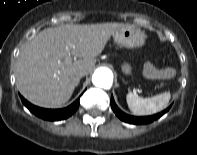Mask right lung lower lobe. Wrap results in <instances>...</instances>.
Here are the masks:
<instances>
[{
    "label": "right lung lower lobe",
    "mask_w": 197,
    "mask_h": 155,
    "mask_svg": "<svg viewBox=\"0 0 197 155\" xmlns=\"http://www.w3.org/2000/svg\"><path fill=\"white\" fill-rule=\"evenodd\" d=\"M21 100L23 104L30 110L34 115L49 121L63 120L70 117L79 107V98L73 102L70 106L63 109H44L32 105L22 96Z\"/></svg>",
    "instance_id": "right-lung-lower-lobe-1"
}]
</instances>
